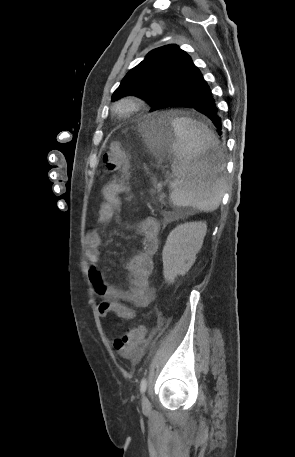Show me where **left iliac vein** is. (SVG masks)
<instances>
[{"instance_id":"obj_1","label":"left iliac vein","mask_w":295,"mask_h":457,"mask_svg":"<svg viewBox=\"0 0 295 457\" xmlns=\"http://www.w3.org/2000/svg\"><path fill=\"white\" fill-rule=\"evenodd\" d=\"M148 404H149V401H148L147 397H146V396H143V398H142V405H143V407H147Z\"/></svg>"}]
</instances>
